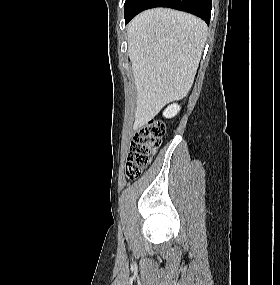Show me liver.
Here are the masks:
<instances>
[{
    "label": "liver",
    "instance_id": "obj_1",
    "mask_svg": "<svg viewBox=\"0 0 280 285\" xmlns=\"http://www.w3.org/2000/svg\"><path fill=\"white\" fill-rule=\"evenodd\" d=\"M207 30L201 19L167 8L144 11L128 24V55L137 90L134 128L187 95Z\"/></svg>",
    "mask_w": 280,
    "mask_h": 285
}]
</instances>
